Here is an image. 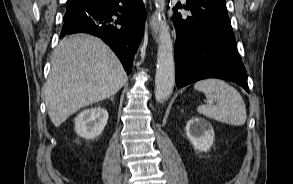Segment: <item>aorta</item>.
I'll return each mask as SVG.
<instances>
[{
    "instance_id": "aorta-1",
    "label": "aorta",
    "mask_w": 293,
    "mask_h": 184,
    "mask_svg": "<svg viewBox=\"0 0 293 184\" xmlns=\"http://www.w3.org/2000/svg\"><path fill=\"white\" fill-rule=\"evenodd\" d=\"M157 7L163 12L165 0H156ZM175 82V62L173 43L169 27L165 20L161 21L159 45L157 51V68L155 76V98L158 103L166 101L172 94Z\"/></svg>"
}]
</instances>
